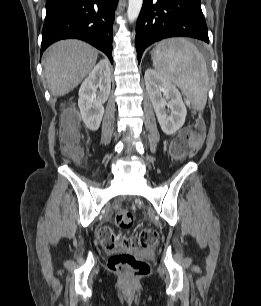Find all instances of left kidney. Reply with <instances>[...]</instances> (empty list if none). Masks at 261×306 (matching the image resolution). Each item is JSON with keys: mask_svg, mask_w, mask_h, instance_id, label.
<instances>
[{"mask_svg": "<svg viewBox=\"0 0 261 306\" xmlns=\"http://www.w3.org/2000/svg\"><path fill=\"white\" fill-rule=\"evenodd\" d=\"M144 78L162 131L166 135L175 134L184 125L187 115L179 90L154 69H147Z\"/></svg>", "mask_w": 261, "mask_h": 306, "instance_id": "left-kidney-1", "label": "left kidney"}]
</instances>
